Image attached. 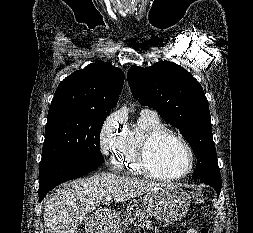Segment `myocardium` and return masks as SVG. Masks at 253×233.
Listing matches in <instances>:
<instances>
[{
  "mask_svg": "<svg viewBox=\"0 0 253 233\" xmlns=\"http://www.w3.org/2000/svg\"><path fill=\"white\" fill-rule=\"evenodd\" d=\"M163 137H171L180 142L187 149L189 154V166L184 173L174 176L160 175L151 168L149 161L150 152L155 143ZM139 164L145 174L154 179L161 181H177L186 178L193 171L195 165V152L186 138L174 130L163 127L148 134L143 140L139 151Z\"/></svg>",
  "mask_w": 253,
  "mask_h": 233,
  "instance_id": "myocardium-1",
  "label": "myocardium"
}]
</instances>
